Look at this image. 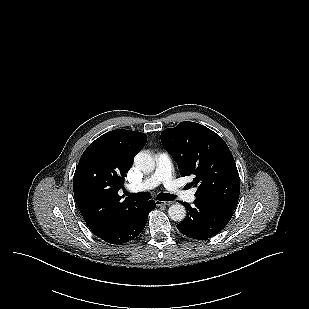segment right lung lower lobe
I'll return each instance as SVG.
<instances>
[{"instance_id": "right-lung-lower-lobe-1", "label": "right lung lower lobe", "mask_w": 309, "mask_h": 309, "mask_svg": "<svg viewBox=\"0 0 309 309\" xmlns=\"http://www.w3.org/2000/svg\"><path fill=\"white\" fill-rule=\"evenodd\" d=\"M154 208L155 203L153 201L139 202L126 212L108 231L98 237L114 245L131 241L144 229L148 213Z\"/></svg>"}]
</instances>
